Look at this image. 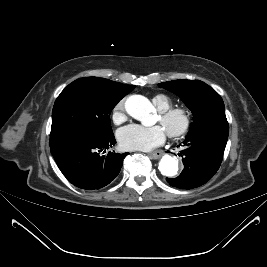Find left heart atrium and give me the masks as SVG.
<instances>
[{"instance_id": "39dd6f15", "label": "left heart atrium", "mask_w": 267, "mask_h": 267, "mask_svg": "<svg viewBox=\"0 0 267 267\" xmlns=\"http://www.w3.org/2000/svg\"><path fill=\"white\" fill-rule=\"evenodd\" d=\"M117 138L121 147L126 150L149 151L165 141L166 132L158 125L145 127L131 124L120 129Z\"/></svg>"}]
</instances>
